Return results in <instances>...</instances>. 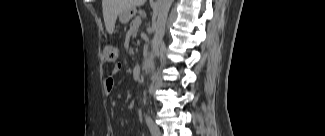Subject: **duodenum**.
Listing matches in <instances>:
<instances>
[{
    "label": "duodenum",
    "mask_w": 325,
    "mask_h": 136,
    "mask_svg": "<svg viewBox=\"0 0 325 136\" xmlns=\"http://www.w3.org/2000/svg\"><path fill=\"white\" fill-rule=\"evenodd\" d=\"M142 71L141 65L137 64L132 68V75L134 78H139Z\"/></svg>",
    "instance_id": "obj_1"
}]
</instances>
